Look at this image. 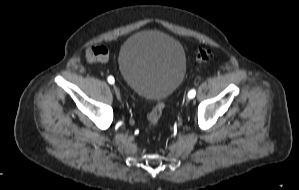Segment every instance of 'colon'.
Here are the masks:
<instances>
[{"label": "colon", "instance_id": "1", "mask_svg": "<svg viewBox=\"0 0 299 190\" xmlns=\"http://www.w3.org/2000/svg\"><path fill=\"white\" fill-rule=\"evenodd\" d=\"M212 56L210 50L199 49L196 53V63L202 64L208 62L212 59ZM165 108L166 103L164 101H160L153 106L148 115V129H154L157 126Z\"/></svg>", "mask_w": 299, "mask_h": 190}]
</instances>
